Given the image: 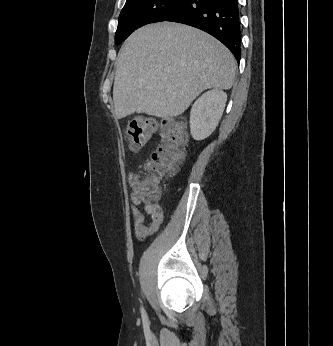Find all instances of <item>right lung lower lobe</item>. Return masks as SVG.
<instances>
[{
    "mask_svg": "<svg viewBox=\"0 0 333 346\" xmlns=\"http://www.w3.org/2000/svg\"><path fill=\"white\" fill-rule=\"evenodd\" d=\"M164 21L201 29L241 57V23L238 0H184Z\"/></svg>",
    "mask_w": 333,
    "mask_h": 346,
    "instance_id": "right-lung-lower-lobe-1",
    "label": "right lung lower lobe"
}]
</instances>
